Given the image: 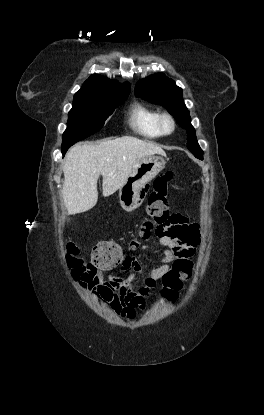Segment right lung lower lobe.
<instances>
[{
    "mask_svg": "<svg viewBox=\"0 0 264 415\" xmlns=\"http://www.w3.org/2000/svg\"><path fill=\"white\" fill-rule=\"evenodd\" d=\"M68 150V149H67ZM67 150H62V154H63V156L65 155V153H66V151Z\"/></svg>",
    "mask_w": 264,
    "mask_h": 415,
    "instance_id": "98d812e1",
    "label": "right lung lower lobe"
}]
</instances>
